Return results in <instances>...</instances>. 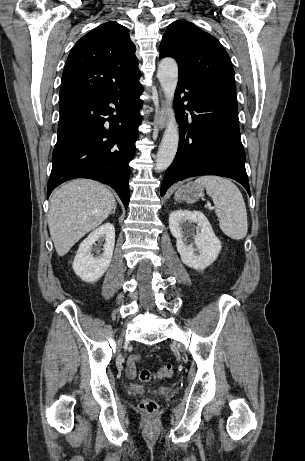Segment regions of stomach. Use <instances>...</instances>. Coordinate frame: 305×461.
Returning <instances> with one entry per match:
<instances>
[{"instance_id":"obj_1","label":"stomach","mask_w":305,"mask_h":461,"mask_svg":"<svg viewBox=\"0 0 305 461\" xmlns=\"http://www.w3.org/2000/svg\"><path fill=\"white\" fill-rule=\"evenodd\" d=\"M204 194L202 186L195 183H187L181 186L175 193L174 198L177 201H186L188 203L196 202Z\"/></svg>"}]
</instances>
